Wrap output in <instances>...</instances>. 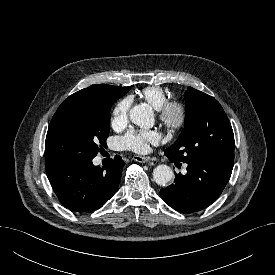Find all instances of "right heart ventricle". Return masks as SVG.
I'll return each mask as SVG.
<instances>
[{
    "instance_id": "1",
    "label": "right heart ventricle",
    "mask_w": 275,
    "mask_h": 275,
    "mask_svg": "<svg viewBox=\"0 0 275 275\" xmlns=\"http://www.w3.org/2000/svg\"><path fill=\"white\" fill-rule=\"evenodd\" d=\"M141 97L155 109H159L168 99L165 90L159 86H149L141 91Z\"/></svg>"
}]
</instances>
